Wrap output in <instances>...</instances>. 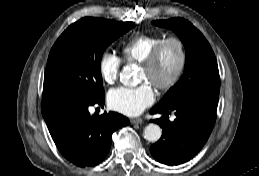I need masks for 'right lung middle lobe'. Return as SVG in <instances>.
Masks as SVG:
<instances>
[{"label": "right lung middle lobe", "mask_w": 259, "mask_h": 176, "mask_svg": "<svg viewBox=\"0 0 259 176\" xmlns=\"http://www.w3.org/2000/svg\"><path fill=\"white\" fill-rule=\"evenodd\" d=\"M133 22L84 17L70 25L52 47L44 74L43 97L82 99L104 95L100 70L104 50L134 27Z\"/></svg>", "instance_id": "1"}]
</instances>
